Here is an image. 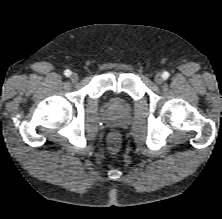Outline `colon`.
I'll return each instance as SVG.
<instances>
[{"label":"colon","instance_id":"colon-1","mask_svg":"<svg viewBox=\"0 0 222 219\" xmlns=\"http://www.w3.org/2000/svg\"><path fill=\"white\" fill-rule=\"evenodd\" d=\"M121 136L118 132H111L107 137L108 149L115 153L120 149Z\"/></svg>","mask_w":222,"mask_h":219}]
</instances>
